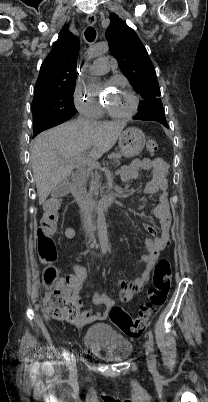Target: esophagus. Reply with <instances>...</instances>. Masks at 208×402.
Returning <instances> with one entry per match:
<instances>
[{
  "mask_svg": "<svg viewBox=\"0 0 208 402\" xmlns=\"http://www.w3.org/2000/svg\"><path fill=\"white\" fill-rule=\"evenodd\" d=\"M86 22L88 25H94L96 23V16L93 14L87 15Z\"/></svg>",
  "mask_w": 208,
  "mask_h": 402,
  "instance_id": "esophagus-1",
  "label": "esophagus"
}]
</instances>
